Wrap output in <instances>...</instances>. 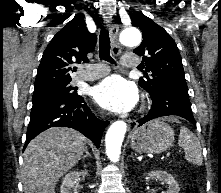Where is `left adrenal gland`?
Wrapping results in <instances>:
<instances>
[{
	"label": "left adrenal gland",
	"mask_w": 221,
	"mask_h": 193,
	"mask_svg": "<svg viewBox=\"0 0 221 193\" xmlns=\"http://www.w3.org/2000/svg\"><path fill=\"white\" fill-rule=\"evenodd\" d=\"M130 157L134 160V156H133V153H131Z\"/></svg>",
	"instance_id": "left-adrenal-gland-1"
}]
</instances>
